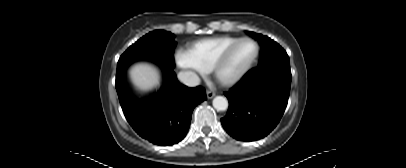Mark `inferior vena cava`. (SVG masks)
I'll return each instance as SVG.
<instances>
[{"label":"inferior vena cava","mask_w":406,"mask_h":168,"mask_svg":"<svg viewBox=\"0 0 406 168\" xmlns=\"http://www.w3.org/2000/svg\"><path fill=\"white\" fill-rule=\"evenodd\" d=\"M179 79L187 86H197L200 83L198 75L192 71H181L178 74Z\"/></svg>","instance_id":"1"}]
</instances>
